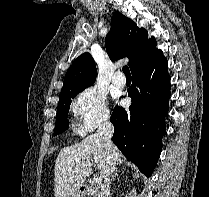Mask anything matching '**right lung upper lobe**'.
Here are the masks:
<instances>
[{"label":"right lung upper lobe","instance_id":"right-lung-upper-lobe-1","mask_svg":"<svg viewBox=\"0 0 209 197\" xmlns=\"http://www.w3.org/2000/svg\"><path fill=\"white\" fill-rule=\"evenodd\" d=\"M147 31L119 11L113 14L111 31L105 38V47L111 60L128 57L131 71L154 57L161 50L156 49L154 37L147 39ZM96 66L89 53L81 54L68 69L60 95L72 88L90 86L95 82Z\"/></svg>","mask_w":209,"mask_h":197}]
</instances>
